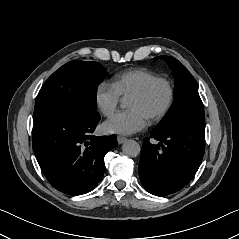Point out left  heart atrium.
<instances>
[{
	"mask_svg": "<svg viewBox=\"0 0 239 239\" xmlns=\"http://www.w3.org/2000/svg\"><path fill=\"white\" fill-rule=\"evenodd\" d=\"M145 125L144 116L134 108L123 110L112 116L106 123L110 132L130 134L142 129Z\"/></svg>",
	"mask_w": 239,
	"mask_h": 239,
	"instance_id": "obj_1",
	"label": "left heart atrium"
}]
</instances>
